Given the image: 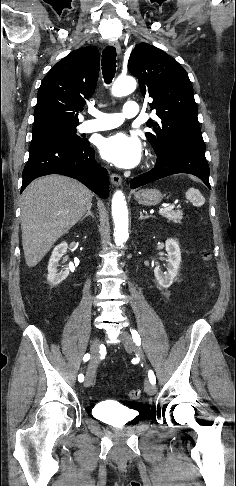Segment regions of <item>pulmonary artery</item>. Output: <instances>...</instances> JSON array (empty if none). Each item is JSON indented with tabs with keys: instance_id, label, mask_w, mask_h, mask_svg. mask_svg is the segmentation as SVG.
Returning a JSON list of instances; mask_svg holds the SVG:
<instances>
[{
	"instance_id": "obj_1",
	"label": "pulmonary artery",
	"mask_w": 236,
	"mask_h": 486,
	"mask_svg": "<svg viewBox=\"0 0 236 486\" xmlns=\"http://www.w3.org/2000/svg\"><path fill=\"white\" fill-rule=\"evenodd\" d=\"M89 113L94 117L83 121L79 131L84 133L108 130L120 126L125 118H132L139 114V105L135 101H127L121 113L108 114L97 109H90Z\"/></svg>"
}]
</instances>
